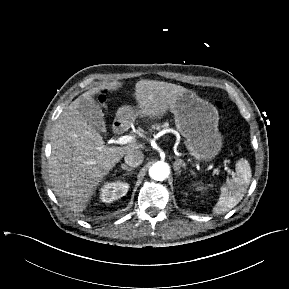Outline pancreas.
Returning a JSON list of instances; mask_svg holds the SVG:
<instances>
[{"label": "pancreas", "instance_id": "obj_1", "mask_svg": "<svg viewBox=\"0 0 289 289\" xmlns=\"http://www.w3.org/2000/svg\"><path fill=\"white\" fill-rule=\"evenodd\" d=\"M163 127H166V125H163ZM153 128L154 129H160V126L159 125H154Z\"/></svg>", "mask_w": 289, "mask_h": 289}]
</instances>
